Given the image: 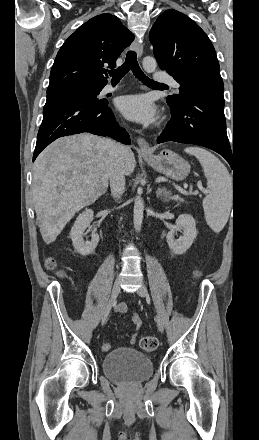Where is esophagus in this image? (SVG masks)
Masks as SVG:
<instances>
[{"label":"esophagus","instance_id":"34e87169","mask_svg":"<svg viewBox=\"0 0 259 440\" xmlns=\"http://www.w3.org/2000/svg\"><path fill=\"white\" fill-rule=\"evenodd\" d=\"M132 50L136 51L138 57L142 56L143 53V43L135 40L132 43ZM137 143H138V147H139V151L144 154V155H150L152 154V149L149 145V143L142 137H137Z\"/></svg>","mask_w":259,"mask_h":440}]
</instances>
